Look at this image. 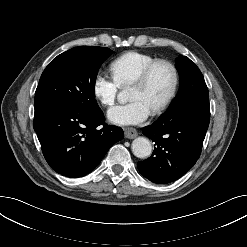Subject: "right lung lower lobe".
<instances>
[{"label":"right lung lower lobe","instance_id":"1","mask_svg":"<svg viewBox=\"0 0 247 247\" xmlns=\"http://www.w3.org/2000/svg\"><path fill=\"white\" fill-rule=\"evenodd\" d=\"M33 127L47 163L71 178L92 171L123 138L120 127L104 123L101 109L86 111L68 102L35 111Z\"/></svg>","mask_w":247,"mask_h":247}]
</instances>
